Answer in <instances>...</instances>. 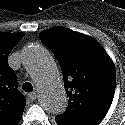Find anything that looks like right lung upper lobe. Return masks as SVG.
I'll return each mask as SVG.
<instances>
[{
  "instance_id": "right-lung-upper-lobe-1",
  "label": "right lung upper lobe",
  "mask_w": 125,
  "mask_h": 125,
  "mask_svg": "<svg viewBox=\"0 0 125 125\" xmlns=\"http://www.w3.org/2000/svg\"><path fill=\"white\" fill-rule=\"evenodd\" d=\"M24 37L23 33H0V125H10L23 114L26 101L17 90V77L8 64V55Z\"/></svg>"
}]
</instances>
